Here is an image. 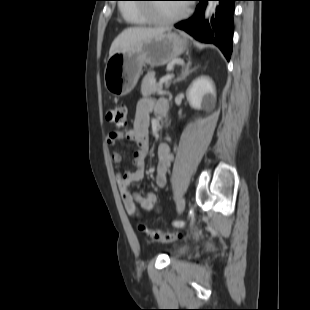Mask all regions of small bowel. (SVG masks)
I'll return each mask as SVG.
<instances>
[{
    "label": "small bowel",
    "instance_id": "c3829d8e",
    "mask_svg": "<svg viewBox=\"0 0 310 310\" xmlns=\"http://www.w3.org/2000/svg\"><path fill=\"white\" fill-rule=\"evenodd\" d=\"M169 109L165 100L154 101L151 98H142L136 108L133 125L126 131H111L108 134L107 142L115 146L121 139L134 141L138 149L134 153L132 171L121 173L117 179L118 189L129 215L139 218L141 216L137 205L145 211L158 210L157 195L152 191H147L144 195L138 191H132L130 186L134 182H139L145 174V159L149 149V126L150 115L154 111L157 115H167ZM111 160L115 164H120L121 154L113 150ZM173 155L166 144H161L158 148V165L156 168L155 182L158 187L163 188L167 183V171L172 163Z\"/></svg>",
    "mask_w": 310,
    "mask_h": 310
}]
</instances>
